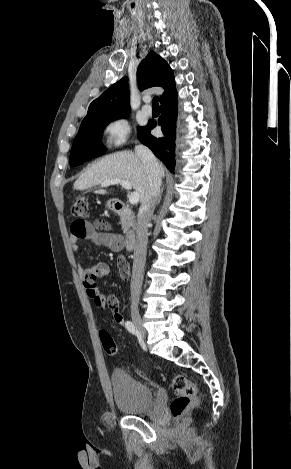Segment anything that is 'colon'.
Segmentation results:
<instances>
[{
  "label": "colon",
  "instance_id": "1",
  "mask_svg": "<svg viewBox=\"0 0 291 469\" xmlns=\"http://www.w3.org/2000/svg\"><path fill=\"white\" fill-rule=\"evenodd\" d=\"M71 213L74 217L84 221L89 214V202L85 197H77L71 207ZM118 268L120 276L127 279L130 275V268L128 262L120 258L118 259ZM92 303L97 308H103L106 302L99 296L92 298ZM100 341L104 351L108 355H115L117 353V346L106 330L99 332ZM171 387L176 392L177 396L171 403V412L174 417H179L184 414L188 409L194 407L198 403V389L197 386L182 374H176L171 379Z\"/></svg>",
  "mask_w": 291,
  "mask_h": 469
}]
</instances>
